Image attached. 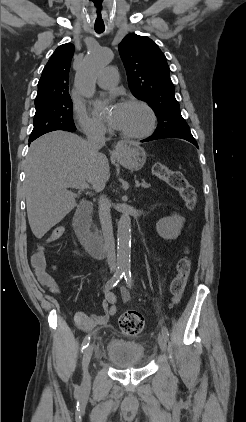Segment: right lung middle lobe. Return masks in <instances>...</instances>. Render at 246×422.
<instances>
[{
  "mask_svg": "<svg viewBox=\"0 0 246 422\" xmlns=\"http://www.w3.org/2000/svg\"><path fill=\"white\" fill-rule=\"evenodd\" d=\"M72 100L70 96L59 98L52 103L37 108L33 119V131L29 141H33L39 136L55 131H70L75 129L72 117Z\"/></svg>",
  "mask_w": 246,
  "mask_h": 422,
  "instance_id": "dd1d6c3e",
  "label": "right lung middle lobe"
}]
</instances>
